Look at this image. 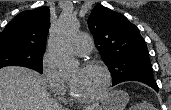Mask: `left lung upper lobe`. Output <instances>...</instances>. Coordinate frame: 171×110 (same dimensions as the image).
<instances>
[{"label":"left lung upper lobe","instance_id":"5c2ea615","mask_svg":"<svg viewBox=\"0 0 171 110\" xmlns=\"http://www.w3.org/2000/svg\"><path fill=\"white\" fill-rule=\"evenodd\" d=\"M88 27L111 72L113 86L124 81H155L146 43L126 17L98 4L89 16Z\"/></svg>","mask_w":171,"mask_h":110}]
</instances>
